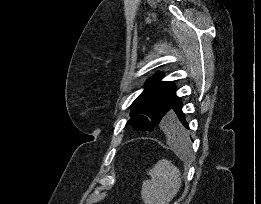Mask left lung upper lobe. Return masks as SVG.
Segmentation results:
<instances>
[{
  "label": "left lung upper lobe",
  "instance_id": "obj_1",
  "mask_svg": "<svg viewBox=\"0 0 261 204\" xmlns=\"http://www.w3.org/2000/svg\"><path fill=\"white\" fill-rule=\"evenodd\" d=\"M161 73L148 80L145 90L132 103L128 123L135 129L153 131L168 119L170 110L177 99L172 82H160Z\"/></svg>",
  "mask_w": 261,
  "mask_h": 204
}]
</instances>
